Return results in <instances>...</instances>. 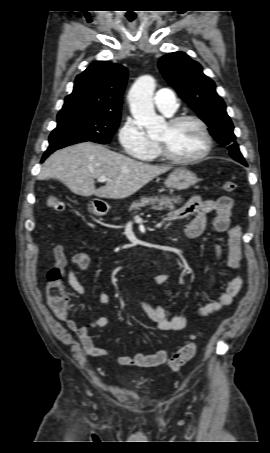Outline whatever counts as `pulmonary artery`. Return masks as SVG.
Returning <instances> with one entry per match:
<instances>
[{
    "label": "pulmonary artery",
    "instance_id": "1",
    "mask_svg": "<svg viewBox=\"0 0 270 453\" xmlns=\"http://www.w3.org/2000/svg\"><path fill=\"white\" fill-rule=\"evenodd\" d=\"M153 100L156 107L166 115H172L178 108L175 94L167 88L158 90Z\"/></svg>",
    "mask_w": 270,
    "mask_h": 453
}]
</instances>
